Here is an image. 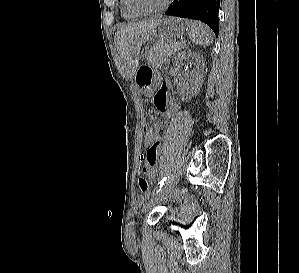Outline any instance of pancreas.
Instances as JSON below:
<instances>
[{"instance_id": "1", "label": "pancreas", "mask_w": 299, "mask_h": 273, "mask_svg": "<svg viewBox=\"0 0 299 273\" xmlns=\"http://www.w3.org/2000/svg\"><path fill=\"white\" fill-rule=\"evenodd\" d=\"M178 43H157L149 52L147 59L148 65L153 68H160L169 61L172 55L180 49Z\"/></svg>"}]
</instances>
